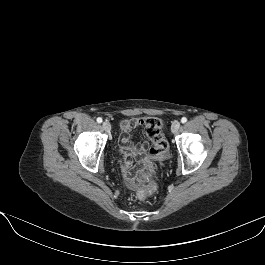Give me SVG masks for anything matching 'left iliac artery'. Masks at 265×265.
Here are the masks:
<instances>
[{
    "label": "left iliac artery",
    "mask_w": 265,
    "mask_h": 265,
    "mask_svg": "<svg viewBox=\"0 0 265 265\" xmlns=\"http://www.w3.org/2000/svg\"><path fill=\"white\" fill-rule=\"evenodd\" d=\"M186 122H187V118L186 117H182L181 123H186Z\"/></svg>",
    "instance_id": "1"
}]
</instances>
